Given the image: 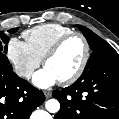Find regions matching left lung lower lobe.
<instances>
[{"label":"left lung lower lobe","mask_w":119,"mask_h":119,"mask_svg":"<svg viewBox=\"0 0 119 119\" xmlns=\"http://www.w3.org/2000/svg\"><path fill=\"white\" fill-rule=\"evenodd\" d=\"M52 95L61 104L55 119H119V55L92 66Z\"/></svg>","instance_id":"obj_1"}]
</instances>
